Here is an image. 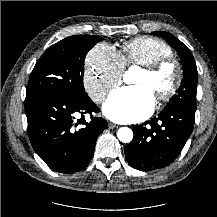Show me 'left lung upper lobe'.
Wrapping results in <instances>:
<instances>
[{
    "mask_svg": "<svg viewBox=\"0 0 217 217\" xmlns=\"http://www.w3.org/2000/svg\"><path fill=\"white\" fill-rule=\"evenodd\" d=\"M152 34L167 40V42L178 52L184 70L183 80L178 93L173 95L165 109L178 106L196 109L198 72L191 51L184 43L168 32L158 31L153 32Z\"/></svg>",
    "mask_w": 217,
    "mask_h": 217,
    "instance_id": "5c2ea615",
    "label": "left lung upper lobe"
}]
</instances>
